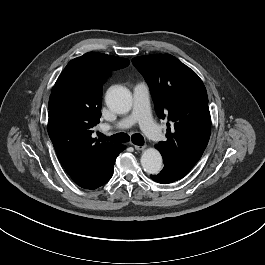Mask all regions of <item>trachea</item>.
Listing matches in <instances>:
<instances>
[{"label": "trachea", "instance_id": "3493384b", "mask_svg": "<svg viewBox=\"0 0 265 265\" xmlns=\"http://www.w3.org/2000/svg\"><path fill=\"white\" fill-rule=\"evenodd\" d=\"M98 136L102 140L110 139L111 141L117 142V143H124V142H127L130 140V137L125 133H118V134L111 136L110 138H107L102 133H98ZM131 140L136 145H143L144 144V138L141 134H133L131 136Z\"/></svg>", "mask_w": 265, "mask_h": 265}]
</instances>
